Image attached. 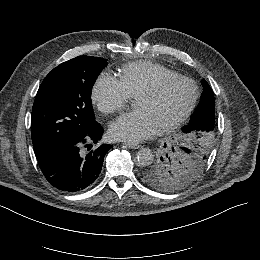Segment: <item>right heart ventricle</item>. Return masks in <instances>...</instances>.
Here are the masks:
<instances>
[{
  "label": "right heart ventricle",
  "mask_w": 260,
  "mask_h": 260,
  "mask_svg": "<svg viewBox=\"0 0 260 260\" xmlns=\"http://www.w3.org/2000/svg\"><path fill=\"white\" fill-rule=\"evenodd\" d=\"M177 74L175 71L157 63L135 62L126 65L120 74V81L130 96L151 86L155 78Z\"/></svg>",
  "instance_id": "obj_1"
}]
</instances>
